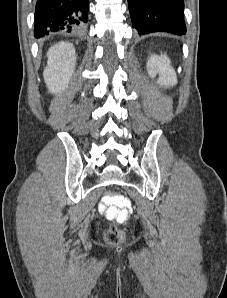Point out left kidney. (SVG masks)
<instances>
[{
	"label": "left kidney",
	"instance_id": "5707ae66",
	"mask_svg": "<svg viewBox=\"0 0 227 298\" xmlns=\"http://www.w3.org/2000/svg\"><path fill=\"white\" fill-rule=\"evenodd\" d=\"M147 71L151 77L159 75L158 83L161 86L171 87L177 84L175 70L171 66L167 55H152L147 61Z\"/></svg>",
	"mask_w": 227,
	"mask_h": 298
}]
</instances>
